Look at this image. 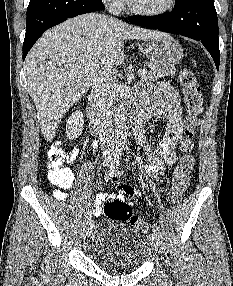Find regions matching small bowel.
<instances>
[{"label":"small bowel","mask_w":233,"mask_h":286,"mask_svg":"<svg viewBox=\"0 0 233 286\" xmlns=\"http://www.w3.org/2000/svg\"><path fill=\"white\" fill-rule=\"evenodd\" d=\"M138 101L142 104L141 109L145 116L143 123L158 116L167 117L169 120L167 133L155 149L148 145L144 139L141 127L143 123L137 127L138 138L146 152L147 164L145 166V174L154 180H159V175H163L167 169L171 168L178 158L175 148L181 140L183 132L180 97L169 83L163 82L159 86L141 85ZM96 146L97 143L93 142L92 147L95 149ZM78 154L79 150H74L70 156V161L76 159ZM111 184L119 191V194L116 196L118 200H123L126 196H138L137 191L131 185L120 182L116 176L111 179ZM65 197L64 192H57L58 199L64 200ZM108 197L111 196L107 194L97 195L95 203L97 214H100L99 204Z\"/></svg>","instance_id":"small-bowel-1"}]
</instances>
